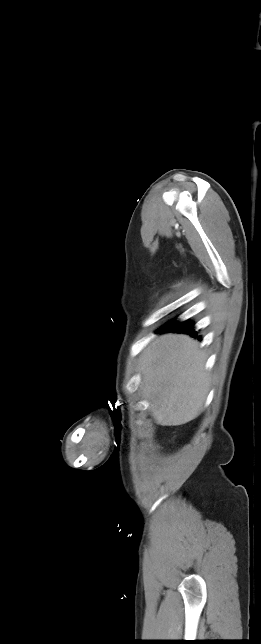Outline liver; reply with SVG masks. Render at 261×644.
<instances>
[{
    "label": "liver",
    "mask_w": 261,
    "mask_h": 644,
    "mask_svg": "<svg viewBox=\"0 0 261 644\" xmlns=\"http://www.w3.org/2000/svg\"><path fill=\"white\" fill-rule=\"evenodd\" d=\"M206 353L183 334H163L139 360L140 389L151 415L161 426H179L198 417L209 391Z\"/></svg>",
    "instance_id": "liver-1"
}]
</instances>
